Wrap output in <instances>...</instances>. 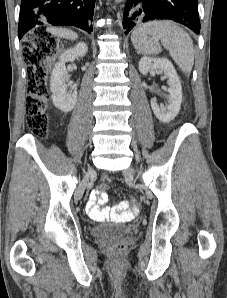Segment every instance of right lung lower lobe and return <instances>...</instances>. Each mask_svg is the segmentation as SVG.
Listing matches in <instances>:
<instances>
[{
	"mask_svg": "<svg viewBox=\"0 0 227 298\" xmlns=\"http://www.w3.org/2000/svg\"><path fill=\"white\" fill-rule=\"evenodd\" d=\"M94 13V0H22L18 25L19 40L34 27L72 25L88 33Z\"/></svg>",
	"mask_w": 227,
	"mask_h": 298,
	"instance_id": "1",
	"label": "right lung lower lobe"
}]
</instances>
